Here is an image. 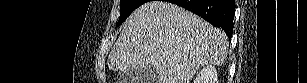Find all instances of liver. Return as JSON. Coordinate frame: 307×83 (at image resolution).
<instances>
[{
    "label": "liver",
    "mask_w": 307,
    "mask_h": 83,
    "mask_svg": "<svg viewBox=\"0 0 307 83\" xmlns=\"http://www.w3.org/2000/svg\"><path fill=\"white\" fill-rule=\"evenodd\" d=\"M228 46L226 34L199 16L151 1L125 22L108 65L123 73L151 67L158 74L156 83H190L203 65L224 64Z\"/></svg>",
    "instance_id": "1"
}]
</instances>
